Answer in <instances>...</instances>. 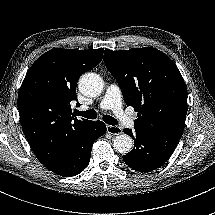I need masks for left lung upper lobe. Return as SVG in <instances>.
<instances>
[{
  "instance_id": "obj_1",
  "label": "left lung upper lobe",
  "mask_w": 215,
  "mask_h": 215,
  "mask_svg": "<svg viewBox=\"0 0 215 215\" xmlns=\"http://www.w3.org/2000/svg\"><path fill=\"white\" fill-rule=\"evenodd\" d=\"M104 62L124 100L138 112L135 129L183 133L187 88L175 63L155 48L105 49Z\"/></svg>"
}]
</instances>
